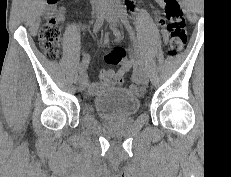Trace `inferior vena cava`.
I'll list each match as a JSON object with an SVG mask.
<instances>
[{"label": "inferior vena cava", "instance_id": "602c4592", "mask_svg": "<svg viewBox=\"0 0 231 177\" xmlns=\"http://www.w3.org/2000/svg\"><path fill=\"white\" fill-rule=\"evenodd\" d=\"M102 0H91V2H100Z\"/></svg>", "mask_w": 231, "mask_h": 177}]
</instances>
